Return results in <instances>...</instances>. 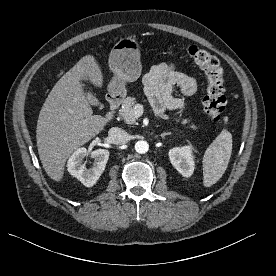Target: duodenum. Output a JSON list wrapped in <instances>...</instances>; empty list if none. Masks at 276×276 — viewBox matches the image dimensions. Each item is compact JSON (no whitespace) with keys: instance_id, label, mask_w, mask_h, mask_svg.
Masks as SVG:
<instances>
[{"instance_id":"410a0bca","label":"duodenum","mask_w":276,"mask_h":276,"mask_svg":"<svg viewBox=\"0 0 276 276\" xmlns=\"http://www.w3.org/2000/svg\"><path fill=\"white\" fill-rule=\"evenodd\" d=\"M108 101V111L106 112L105 119L107 122H111L114 118L116 109L123 102V96L120 94H110L107 98Z\"/></svg>"}]
</instances>
